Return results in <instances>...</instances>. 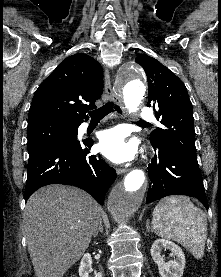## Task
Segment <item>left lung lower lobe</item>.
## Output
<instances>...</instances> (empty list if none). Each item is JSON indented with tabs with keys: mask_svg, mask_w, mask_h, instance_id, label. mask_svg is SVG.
Wrapping results in <instances>:
<instances>
[{
	"mask_svg": "<svg viewBox=\"0 0 221 277\" xmlns=\"http://www.w3.org/2000/svg\"><path fill=\"white\" fill-rule=\"evenodd\" d=\"M148 166L151 180L146 203L169 195L195 197L208 209L203 178L197 161L171 147H155Z\"/></svg>",
	"mask_w": 221,
	"mask_h": 277,
	"instance_id": "0a47b994",
	"label": "left lung lower lobe"
}]
</instances>
